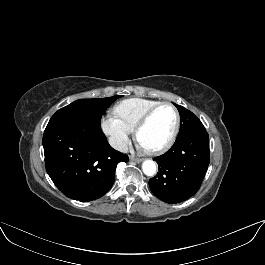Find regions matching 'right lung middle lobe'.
I'll return each instance as SVG.
<instances>
[{
    "instance_id": "1",
    "label": "right lung middle lobe",
    "mask_w": 265,
    "mask_h": 265,
    "mask_svg": "<svg viewBox=\"0 0 265 265\" xmlns=\"http://www.w3.org/2000/svg\"><path fill=\"white\" fill-rule=\"evenodd\" d=\"M121 95L107 98L80 99L59 109L50 119H69L85 122L93 126H101V117L106 108Z\"/></svg>"
}]
</instances>
